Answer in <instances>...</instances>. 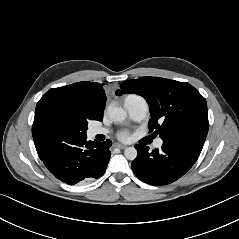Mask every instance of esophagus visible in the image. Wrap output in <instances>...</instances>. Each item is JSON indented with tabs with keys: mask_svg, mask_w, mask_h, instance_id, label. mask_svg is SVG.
Returning a JSON list of instances; mask_svg holds the SVG:
<instances>
[{
	"mask_svg": "<svg viewBox=\"0 0 239 239\" xmlns=\"http://www.w3.org/2000/svg\"><path fill=\"white\" fill-rule=\"evenodd\" d=\"M115 147L120 148V149H125V148H127L126 145H122V144H116Z\"/></svg>",
	"mask_w": 239,
	"mask_h": 239,
	"instance_id": "34e87169",
	"label": "esophagus"
}]
</instances>
